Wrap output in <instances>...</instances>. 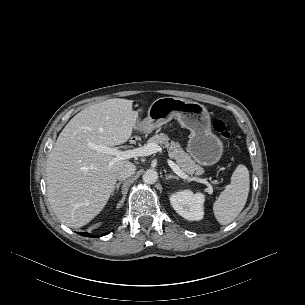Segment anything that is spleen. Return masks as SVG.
Listing matches in <instances>:
<instances>
[{"label":"spleen","mask_w":305,"mask_h":305,"mask_svg":"<svg viewBox=\"0 0 305 305\" xmlns=\"http://www.w3.org/2000/svg\"><path fill=\"white\" fill-rule=\"evenodd\" d=\"M250 189L249 171L240 164L232 174L230 185L213 204L215 218L221 225L231 223L243 210Z\"/></svg>","instance_id":"3e777b00"}]
</instances>
